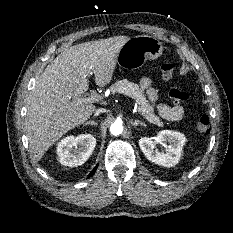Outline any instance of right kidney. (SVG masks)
<instances>
[{
  "label": "right kidney",
  "instance_id": "ca27d5eb",
  "mask_svg": "<svg viewBox=\"0 0 233 233\" xmlns=\"http://www.w3.org/2000/svg\"><path fill=\"white\" fill-rule=\"evenodd\" d=\"M96 146V139L91 134L68 136L57 145L59 161L64 166H79L84 164Z\"/></svg>",
  "mask_w": 233,
  "mask_h": 233
}]
</instances>
